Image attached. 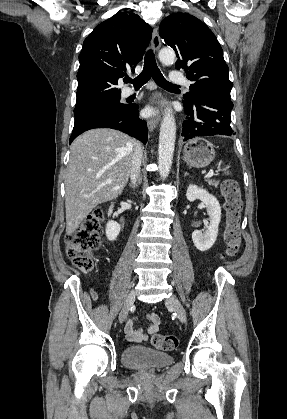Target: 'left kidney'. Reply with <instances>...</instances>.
<instances>
[{"mask_svg": "<svg viewBox=\"0 0 287 419\" xmlns=\"http://www.w3.org/2000/svg\"><path fill=\"white\" fill-rule=\"evenodd\" d=\"M186 198L193 202L200 199L207 209L209 215V226L205 231L195 230L192 233V240L195 247L200 251L210 249L218 236V226L221 220V207L217 198L206 190L190 184L187 188Z\"/></svg>", "mask_w": 287, "mask_h": 419, "instance_id": "left-kidney-1", "label": "left kidney"}]
</instances>
